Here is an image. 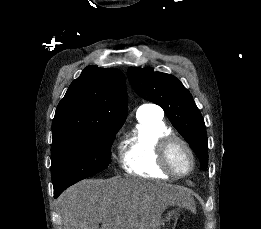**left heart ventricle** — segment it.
<instances>
[{"mask_svg":"<svg viewBox=\"0 0 261 229\" xmlns=\"http://www.w3.org/2000/svg\"><path fill=\"white\" fill-rule=\"evenodd\" d=\"M171 163L173 167L179 172L186 171L189 168L190 159L187 151L183 146L177 145L172 149Z\"/></svg>","mask_w":261,"mask_h":229,"instance_id":"obj_1","label":"left heart ventricle"}]
</instances>
